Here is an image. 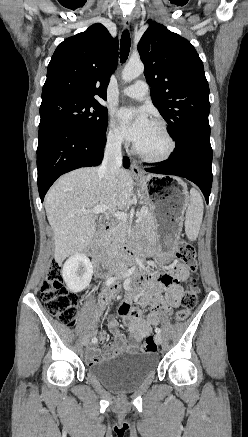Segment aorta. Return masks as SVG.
I'll return each mask as SVG.
<instances>
[{
	"label": "aorta",
	"mask_w": 248,
	"mask_h": 437,
	"mask_svg": "<svg viewBox=\"0 0 248 437\" xmlns=\"http://www.w3.org/2000/svg\"><path fill=\"white\" fill-rule=\"evenodd\" d=\"M144 71V65L142 62H129L122 71V80L124 82H131L140 76Z\"/></svg>",
	"instance_id": "1"
}]
</instances>
